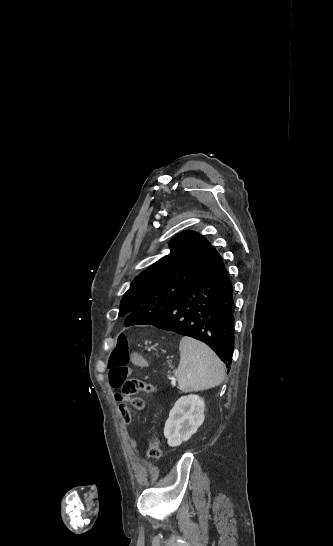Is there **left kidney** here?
Here are the masks:
<instances>
[{"label": "left kidney", "instance_id": "obj_1", "mask_svg": "<svg viewBox=\"0 0 333 546\" xmlns=\"http://www.w3.org/2000/svg\"><path fill=\"white\" fill-rule=\"evenodd\" d=\"M204 409V400L195 394L183 396L175 402L164 427V436L170 447L181 445L197 432L205 419Z\"/></svg>", "mask_w": 333, "mask_h": 546}]
</instances>
